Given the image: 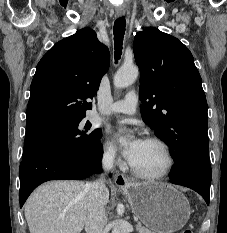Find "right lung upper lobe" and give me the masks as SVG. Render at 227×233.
<instances>
[{
  "label": "right lung upper lobe",
  "instance_id": "cb5924a9",
  "mask_svg": "<svg viewBox=\"0 0 227 233\" xmlns=\"http://www.w3.org/2000/svg\"><path fill=\"white\" fill-rule=\"evenodd\" d=\"M110 64L106 46L85 28L56 43L40 60L30 86L26 135L85 117Z\"/></svg>",
  "mask_w": 227,
  "mask_h": 233
}]
</instances>
